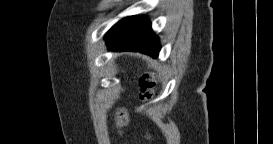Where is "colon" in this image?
<instances>
[{"label":"colon","instance_id":"1","mask_svg":"<svg viewBox=\"0 0 273 144\" xmlns=\"http://www.w3.org/2000/svg\"><path fill=\"white\" fill-rule=\"evenodd\" d=\"M154 82L152 77L148 76L142 83V97L148 99L152 96ZM127 122V116L124 113H119L117 116V125L123 126Z\"/></svg>","mask_w":273,"mask_h":144}]
</instances>
